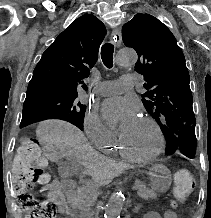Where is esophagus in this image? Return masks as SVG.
<instances>
[{"mask_svg":"<svg viewBox=\"0 0 211 218\" xmlns=\"http://www.w3.org/2000/svg\"><path fill=\"white\" fill-rule=\"evenodd\" d=\"M110 39H111L112 43H114L117 47H119L121 44V41H122L121 30L120 29L114 30L111 34Z\"/></svg>","mask_w":211,"mask_h":218,"instance_id":"1","label":"esophagus"}]
</instances>
